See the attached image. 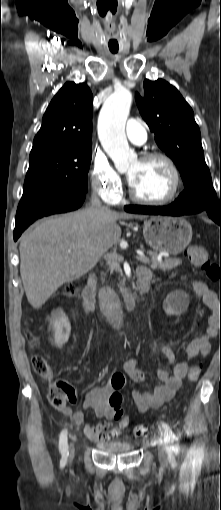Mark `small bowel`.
<instances>
[{
  "instance_id": "1",
  "label": "small bowel",
  "mask_w": 221,
  "mask_h": 510,
  "mask_svg": "<svg viewBox=\"0 0 221 510\" xmlns=\"http://www.w3.org/2000/svg\"><path fill=\"white\" fill-rule=\"evenodd\" d=\"M191 286L194 292L202 298L204 304L210 309L211 314L207 318L206 331L195 337L186 349V359L175 363V354L168 345H157L155 349L166 358L169 365H172V372L165 369L158 371V377L163 382L161 385H154L151 390L132 391V397L137 409L141 413H146L150 409H158L163 403L171 400L178 389L181 387L183 379L187 376L189 367L188 361L195 357H205L210 352V339L217 335L220 329V305L218 298L207 284L200 280H192ZM123 370L131 383H141L145 380V373L137 367L135 357H129L123 364ZM114 393L110 384L106 386L94 387L85 394L84 408L92 410L99 418L105 421L92 425L85 423L83 412H72L69 408L61 412L69 416L76 425L84 424V433L92 441L110 440L117 436V430L111 426V421L115 419L117 407L111 405L110 397Z\"/></svg>"
}]
</instances>
